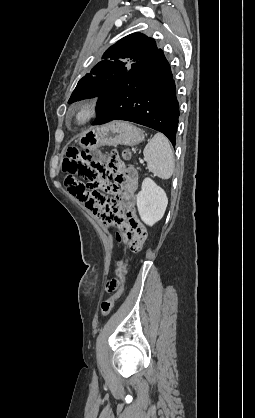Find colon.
<instances>
[{
	"label": "colon",
	"instance_id": "5ec220e1",
	"mask_svg": "<svg viewBox=\"0 0 255 418\" xmlns=\"http://www.w3.org/2000/svg\"><path fill=\"white\" fill-rule=\"evenodd\" d=\"M124 156L128 157V154L126 153ZM62 168L67 174L65 180L67 189L82 201L100 222L107 221L115 231L117 228H144L133 210L127 217L121 218L116 201L105 198L101 193L111 191L110 181L117 173L116 163H109L108 159L100 152H86L76 147H70L66 150ZM116 238L115 243L123 246L125 240L122 235L117 234ZM125 248L124 246L122 250L124 251ZM129 250L131 251V249ZM128 254V252H124L122 258L116 263L114 274L119 276L118 288L110 298L102 302L101 313L103 316H107L111 312L123 291Z\"/></svg>",
	"mask_w": 255,
	"mask_h": 418
}]
</instances>
